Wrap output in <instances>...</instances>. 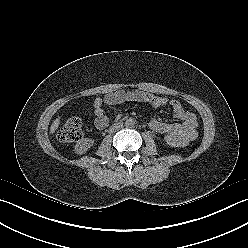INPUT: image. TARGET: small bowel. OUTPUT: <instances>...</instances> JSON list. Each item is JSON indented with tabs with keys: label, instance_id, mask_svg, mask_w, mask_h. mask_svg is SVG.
<instances>
[{
	"label": "small bowel",
	"instance_id": "c3829d8e",
	"mask_svg": "<svg viewBox=\"0 0 248 248\" xmlns=\"http://www.w3.org/2000/svg\"><path fill=\"white\" fill-rule=\"evenodd\" d=\"M126 101L142 102L150 105L153 109L170 106L174 117L180 122L168 123L151 118L149 128L159 134H170L179 137L183 144L191 142L197 137L198 120L193 112L185 110L177 100H170L164 96H158L141 90H117L104 96H98L93 102L94 124L98 129H104L109 124L103 106L116 105Z\"/></svg>",
	"mask_w": 248,
	"mask_h": 248
}]
</instances>
